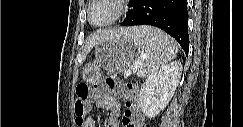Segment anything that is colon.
I'll return each instance as SVG.
<instances>
[{
    "label": "colon",
    "mask_w": 243,
    "mask_h": 127,
    "mask_svg": "<svg viewBox=\"0 0 243 127\" xmlns=\"http://www.w3.org/2000/svg\"><path fill=\"white\" fill-rule=\"evenodd\" d=\"M108 96L124 102L125 112L122 117L124 127H143V117L138 107L135 86L113 77L107 78L102 85L95 84L93 88L86 84H79L76 87L74 113L77 125H84V118L92 101Z\"/></svg>",
    "instance_id": "obj_1"
}]
</instances>
